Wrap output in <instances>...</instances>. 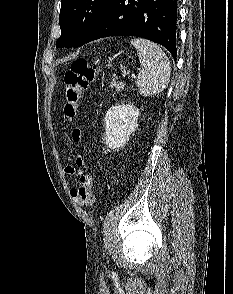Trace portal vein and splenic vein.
Instances as JSON below:
<instances>
[{
  "instance_id": "1",
  "label": "portal vein and splenic vein",
  "mask_w": 233,
  "mask_h": 294,
  "mask_svg": "<svg viewBox=\"0 0 233 294\" xmlns=\"http://www.w3.org/2000/svg\"><path fill=\"white\" fill-rule=\"evenodd\" d=\"M131 77H132V79H135V78H136V76H135L134 74H132V76H131Z\"/></svg>"
}]
</instances>
